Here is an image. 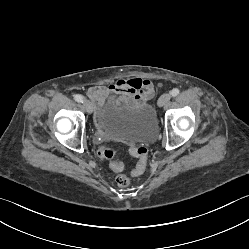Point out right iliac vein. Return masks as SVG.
<instances>
[{
	"label": "right iliac vein",
	"instance_id": "obj_1",
	"mask_svg": "<svg viewBox=\"0 0 249 249\" xmlns=\"http://www.w3.org/2000/svg\"><path fill=\"white\" fill-rule=\"evenodd\" d=\"M83 106H84L85 110H86L89 114L92 113V111H93V105H92V103H91L89 100L85 99V100L83 101Z\"/></svg>",
	"mask_w": 249,
	"mask_h": 249
}]
</instances>
